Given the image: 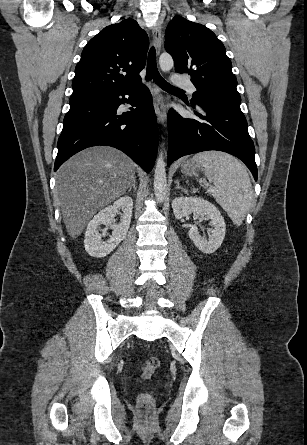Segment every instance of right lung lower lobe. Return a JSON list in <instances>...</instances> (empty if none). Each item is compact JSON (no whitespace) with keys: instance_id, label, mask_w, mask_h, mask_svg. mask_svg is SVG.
I'll return each mask as SVG.
<instances>
[{"instance_id":"obj_1","label":"right lung lower lobe","mask_w":307,"mask_h":445,"mask_svg":"<svg viewBox=\"0 0 307 445\" xmlns=\"http://www.w3.org/2000/svg\"><path fill=\"white\" fill-rule=\"evenodd\" d=\"M125 95L130 96V102ZM124 102L136 109L119 115L117 109ZM63 123L54 171L75 153L96 145L115 147L145 171H151L157 155L158 128L151 94L141 83L70 100Z\"/></svg>"}]
</instances>
